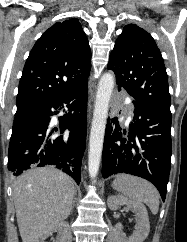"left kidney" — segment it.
<instances>
[{
	"label": "left kidney",
	"mask_w": 187,
	"mask_h": 242,
	"mask_svg": "<svg viewBox=\"0 0 187 242\" xmlns=\"http://www.w3.org/2000/svg\"><path fill=\"white\" fill-rule=\"evenodd\" d=\"M120 205H126L129 210L135 213L136 225L133 234L126 239L122 233V225L117 224L114 228L117 242H143L149 234L150 225L146 207L137 201H130L122 196H110L108 198V206L111 210H117Z\"/></svg>",
	"instance_id": "left-kidney-1"
}]
</instances>
